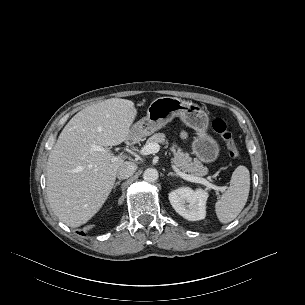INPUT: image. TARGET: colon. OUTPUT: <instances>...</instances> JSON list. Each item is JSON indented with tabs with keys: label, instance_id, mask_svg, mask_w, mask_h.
<instances>
[{
	"label": "colon",
	"instance_id": "5ec220e1",
	"mask_svg": "<svg viewBox=\"0 0 305 305\" xmlns=\"http://www.w3.org/2000/svg\"><path fill=\"white\" fill-rule=\"evenodd\" d=\"M212 128L223 139L230 156L232 158L238 157V150L236 148L234 137L227 123L221 118H216L212 122Z\"/></svg>",
	"mask_w": 305,
	"mask_h": 305
}]
</instances>
